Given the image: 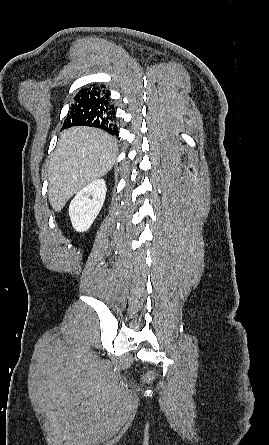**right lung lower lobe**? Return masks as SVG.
I'll return each instance as SVG.
<instances>
[{"mask_svg": "<svg viewBox=\"0 0 269 445\" xmlns=\"http://www.w3.org/2000/svg\"><path fill=\"white\" fill-rule=\"evenodd\" d=\"M116 111L110 99V92L103 85L82 88L75 96L70 113L63 128L90 126L105 130L118 136L114 122Z\"/></svg>", "mask_w": 269, "mask_h": 445, "instance_id": "98d812e1", "label": "right lung lower lobe"}]
</instances>
